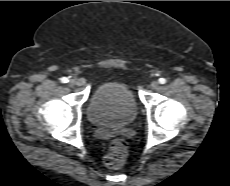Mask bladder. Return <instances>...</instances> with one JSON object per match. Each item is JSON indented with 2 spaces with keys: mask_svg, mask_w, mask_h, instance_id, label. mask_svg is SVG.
Returning <instances> with one entry per match:
<instances>
[{
  "mask_svg": "<svg viewBox=\"0 0 230 186\" xmlns=\"http://www.w3.org/2000/svg\"><path fill=\"white\" fill-rule=\"evenodd\" d=\"M89 121L99 127H123L136 117L137 104L130 88L112 81L99 84L87 109Z\"/></svg>",
  "mask_w": 230,
  "mask_h": 186,
  "instance_id": "1",
  "label": "bladder"
}]
</instances>
